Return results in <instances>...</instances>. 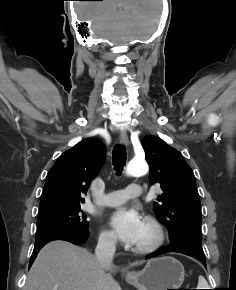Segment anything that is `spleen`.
Masks as SVG:
<instances>
[{"instance_id":"1","label":"spleen","mask_w":236,"mask_h":290,"mask_svg":"<svg viewBox=\"0 0 236 290\" xmlns=\"http://www.w3.org/2000/svg\"><path fill=\"white\" fill-rule=\"evenodd\" d=\"M197 287H198V289H207V287H208L207 281L201 275L198 278V285H197Z\"/></svg>"}]
</instances>
